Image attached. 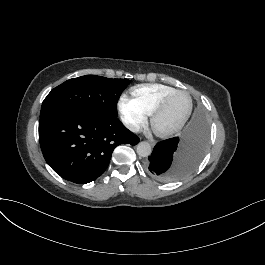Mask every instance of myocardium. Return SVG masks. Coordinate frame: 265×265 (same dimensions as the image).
Listing matches in <instances>:
<instances>
[{
  "label": "myocardium",
  "mask_w": 265,
  "mask_h": 265,
  "mask_svg": "<svg viewBox=\"0 0 265 265\" xmlns=\"http://www.w3.org/2000/svg\"><path fill=\"white\" fill-rule=\"evenodd\" d=\"M185 93L184 90H178V89H174L173 91L167 93L166 95H164L156 104L153 113H152V119H151V125L152 128L154 130V132L159 135L160 137H168L171 134H173L174 132L178 131L179 129H181L186 122L188 121L191 112H192V100L188 99V104H187V108L186 111L183 115V117L180 119V121L178 123H176L174 126L169 127V128H161L158 125V118L159 115L161 113L162 108L164 107L165 103L175 94H182Z\"/></svg>",
  "instance_id": "1"
}]
</instances>
